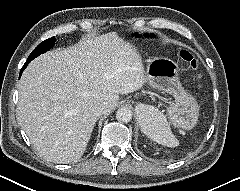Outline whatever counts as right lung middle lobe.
<instances>
[{"mask_svg":"<svg viewBox=\"0 0 240 191\" xmlns=\"http://www.w3.org/2000/svg\"><path fill=\"white\" fill-rule=\"evenodd\" d=\"M54 44H55V37H51V38L43 41L33 50V52L28 57L27 61L30 62L31 60H33L40 54L45 53L50 48H52L54 46Z\"/></svg>","mask_w":240,"mask_h":191,"instance_id":"dd1d6c3e","label":"right lung middle lobe"}]
</instances>
